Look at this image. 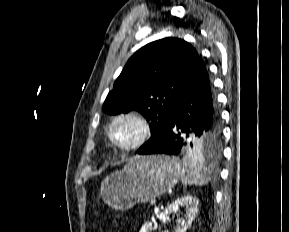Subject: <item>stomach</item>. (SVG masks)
Segmentation results:
<instances>
[{
  "mask_svg": "<svg viewBox=\"0 0 289 232\" xmlns=\"http://www.w3.org/2000/svg\"><path fill=\"white\" fill-rule=\"evenodd\" d=\"M175 157L150 155L134 157L122 170L107 176L101 184L103 201L115 210H128L137 203L172 189L180 175Z\"/></svg>",
  "mask_w": 289,
  "mask_h": 232,
  "instance_id": "1",
  "label": "stomach"
}]
</instances>
